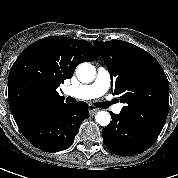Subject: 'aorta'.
<instances>
[{
  "label": "aorta",
  "instance_id": "762f6f07",
  "mask_svg": "<svg viewBox=\"0 0 178 178\" xmlns=\"http://www.w3.org/2000/svg\"><path fill=\"white\" fill-rule=\"evenodd\" d=\"M96 75L95 67L90 63H81L76 69V76L82 83H90ZM96 121L101 126H107L111 122V116L107 111H99L96 116Z\"/></svg>",
  "mask_w": 178,
  "mask_h": 178
}]
</instances>
